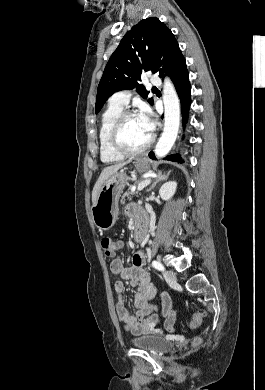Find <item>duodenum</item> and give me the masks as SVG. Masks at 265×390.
Instances as JSON below:
<instances>
[{
  "instance_id": "duodenum-1",
  "label": "duodenum",
  "mask_w": 265,
  "mask_h": 390,
  "mask_svg": "<svg viewBox=\"0 0 265 390\" xmlns=\"http://www.w3.org/2000/svg\"><path fill=\"white\" fill-rule=\"evenodd\" d=\"M135 237L138 241H143L146 237V221L138 219L135 224Z\"/></svg>"
}]
</instances>
